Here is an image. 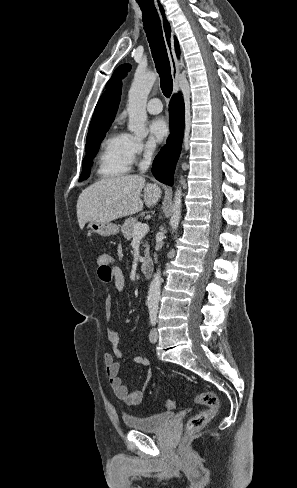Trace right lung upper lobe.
Returning <instances> with one entry per match:
<instances>
[{"label":"right lung upper lobe","instance_id":"1","mask_svg":"<svg viewBox=\"0 0 297 488\" xmlns=\"http://www.w3.org/2000/svg\"><path fill=\"white\" fill-rule=\"evenodd\" d=\"M175 46L178 52L179 45L176 37ZM122 83L119 81L109 88L99 99L89 126L88 134L98 126L112 123L117 112L121 96Z\"/></svg>","mask_w":297,"mask_h":488}]
</instances>
